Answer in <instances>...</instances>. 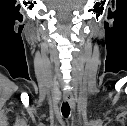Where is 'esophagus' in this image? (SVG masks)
Here are the masks:
<instances>
[{"instance_id":"esophagus-1","label":"esophagus","mask_w":127,"mask_h":126,"mask_svg":"<svg viewBox=\"0 0 127 126\" xmlns=\"http://www.w3.org/2000/svg\"><path fill=\"white\" fill-rule=\"evenodd\" d=\"M64 100L70 104L72 109L75 108L74 100L69 93H67V92L64 93Z\"/></svg>"}]
</instances>
